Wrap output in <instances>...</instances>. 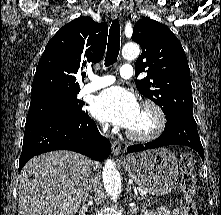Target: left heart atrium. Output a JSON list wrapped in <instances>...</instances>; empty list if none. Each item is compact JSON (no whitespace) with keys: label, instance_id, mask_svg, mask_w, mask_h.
<instances>
[{"label":"left heart atrium","instance_id":"1","mask_svg":"<svg viewBox=\"0 0 221 215\" xmlns=\"http://www.w3.org/2000/svg\"><path fill=\"white\" fill-rule=\"evenodd\" d=\"M139 110L135 96L120 87L104 90L92 105V113L97 119L125 128L134 123Z\"/></svg>","mask_w":221,"mask_h":215}]
</instances>
